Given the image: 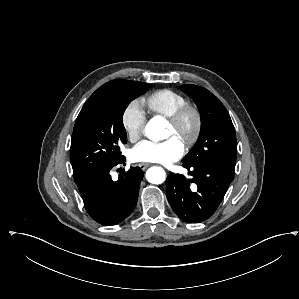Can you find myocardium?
I'll return each mask as SVG.
<instances>
[{
	"instance_id": "1",
	"label": "myocardium",
	"mask_w": 299,
	"mask_h": 299,
	"mask_svg": "<svg viewBox=\"0 0 299 299\" xmlns=\"http://www.w3.org/2000/svg\"><path fill=\"white\" fill-rule=\"evenodd\" d=\"M192 119V127L187 136L182 139V143L186 147L192 146L198 139L202 117L201 112L194 104L186 102L171 117H169L170 125L175 131L180 132L188 119Z\"/></svg>"
}]
</instances>
